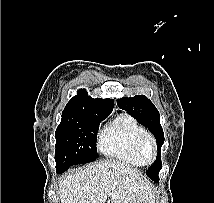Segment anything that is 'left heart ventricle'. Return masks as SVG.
I'll return each mask as SVG.
<instances>
[{"mask_svg": "<svg viewBox=\"0 0 214 203\" xmlns=\"http://www.w3.org/2000/svg\"><path fill=\"white\" fill-rule=\"evenodd\" d=\"M146 155H147L148 158L150 157V150H149V148H147V150H146Z\"/></svg>", "mask_w": 214, "mask_h": 203, "instance_id": "left-heart-ventricle-1", "label": "left heart ventricle"}]
</instances>
